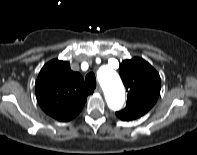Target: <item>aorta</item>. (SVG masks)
<instances>
[{
  "label": "aorta",
  "instance_id": "aorta-1",
  "mask_svg": "<svg viewBox=\"0 0 197 155\" xmlns=\"http://www.w3.org/2000/svg\"><path fill=\"white\" fill-rule=\"evenodd\" d=\"M110 109L119 110L125 101V90L119 75L110 66H101L97 72Z\"/></svg>",
  "mask_w": 197,
  "mask_h": 155
}]
</instances>
